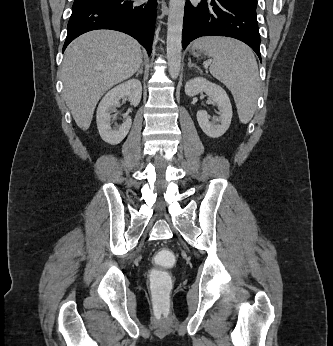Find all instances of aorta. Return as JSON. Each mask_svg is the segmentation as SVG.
I'll return each mask as SVG.
<instances>
[{
    "label": "aorta",
    "instance_id": "aorta-1",
    "mask_svg": "<svg viewBox=\"0 0 333 346\" xmlns=\"http://www.w3.org/2000/svg\"><path fill=\"white\" fill-rule=\"evenodd\" d=\"M185 0H170L167 30L169 74L177 78L181 68L182 29Z\"/></svg>",
    "mask_w": 333,
    "mask_h": 346
}]
</instances>
